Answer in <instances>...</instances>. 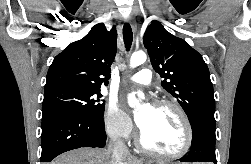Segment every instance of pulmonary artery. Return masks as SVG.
Here are the masks:
<instances>
[{"instance_id": "1", "label": "pulmonary artery", "mask_w": 251, "mask_h": 164, "mask_svg": "<svg viewBox=\"0 0 251 164\" xmlns=\"http://www.w3.org/2000/svg\"><path fill=\"white\" fill-rule=\"evenodd\" d=\"M152 71L150 69H142L136 74L128 77L126 80L131 83L141 84V85H149L152 82Z\"/></svg>"}]
</instances>
